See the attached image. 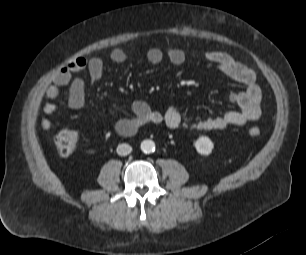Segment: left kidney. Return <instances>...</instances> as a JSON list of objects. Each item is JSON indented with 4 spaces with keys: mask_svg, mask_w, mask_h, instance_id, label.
Here are the masks:
<instances>
[{
    "mask_svg": "<svg viewBox=\"0 0 306 255\" xmlns=\"http://www.w3.org/2000/svg\"><path fill=\"white\" fill-rule=\"evenodd\" d=\"M194 145L197 152L201 155H209L214 148L213 142L210 140L209 137L206 136L199 137L195 141Z\"/></svg>",
    "mask_w": 306,
    "mask_h": 255,
    "instance_id": "1",
    "label": "left kidney"
}]
</instances>
